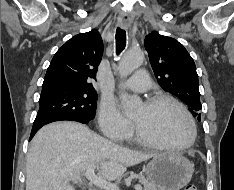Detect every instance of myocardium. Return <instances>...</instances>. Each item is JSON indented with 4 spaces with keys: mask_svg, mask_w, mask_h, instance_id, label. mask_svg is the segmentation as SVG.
<instances>
[{
    "mask_svg": "<svg viewBox=\"0 0 234 190\" xmlns=\"http://www.w3.org/2000/svg\"><path fill=\"white\" fill-rule=\"evenodd\" d=\"M162 101L171 102L182 111V113L185 115L190 126V138L188 139V141L182 144L161 143L147 136L142 130V128L140 127V125L136 121L133 120V126H134L135 134H136L138 141H140L141 143L147 146L155 147V148H162V149L183 150V149H187L191 147L194 144L196 137H197V128H196V123L194 121V118L191 115L190 111L181 101H179L178 99H176L175 97L169 94H156L154 96L149 97L145 101L144 104L146 106H153Z\"/></svg>",
    "mask_w": 234,
    "mask_h": 190,
    "instance_id": "1",
    "label": "myocardium"
}]
</instances>
